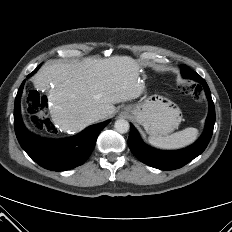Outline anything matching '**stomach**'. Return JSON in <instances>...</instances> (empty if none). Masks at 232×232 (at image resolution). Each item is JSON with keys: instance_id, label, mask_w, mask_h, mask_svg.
Segmentation results:
<instances>
[{"instance_id": "stomach-1", "label": "stomach", "mask_w": 232, "mask_h": 232, "mask_svg": "<svg viewBox=\"0 0 232 232\" xmlns=\"http://www.w3.org/2000/svg\"><path fill=\"white\" fill-rule=\"evenodd\" d=\"M123 110L154 136L173 132L182 120L181 110L172 101L158 94L148 96L143 102L126 105Z\"/></svg>"}]
</instances>
